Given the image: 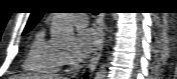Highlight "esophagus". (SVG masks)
I'll list each match as a JSON object with an SVG mask.
<instances>
[{
	"label": "esophagus",
	"mask_w": 177,
	"mask_h": 79,
	"mask_svg": "<svg viewBox=\"0 0 177 79\" xmlns=\"http://www.w3.org/2000/svg\"><path fill=\"white\" fill-rule=\"evenodd\" d=\"M104 19H105V14L100 13L97 18L98 44H97L95 51L90 59V62H89V70L91 72H93L95 70V68L97 67L98 62L102 56V51H103L104 41H105Z\"/></svg>",
	"instance_id": "1"
}]
</instances>
